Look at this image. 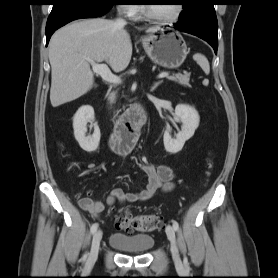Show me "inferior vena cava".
Masks as SVG:
<instances>
[{
	"mask_svg": "<svg viewBox=\"0 0 278 278\" xmlns=\"http://www.w3.org/2000/svg\"><path fill=\"white\" fill-rule=\"evenodd\" d=\"M116 23L119 24V25H125V20L121 19V18H118L116 20Z\"/></svg>",
	"mask_w": 278,
	"mask_h": 278,
	"instance_id": "1",
	"label": "inferior vena cava"
}]
</instances>
